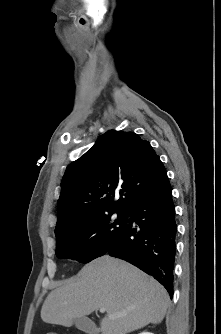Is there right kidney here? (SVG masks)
I'll use <instances>...</instances> for the list:
<instances>
[{
	"instance_id": "obj_1",
	"label": "right kidney",
	"mask_w": 221,
	"mask_h": 334,
	"mask_svg": "<svg viewBox=\"0 0 221 334\" xmlns=\"http://www.w3.org/2000/svg\"><path fill=\"white\" fill-rule=\"evenodd\" d=\"M139 334H154V333H151V332H142V333H139Z\"/></svg>"
}]
</instances>
